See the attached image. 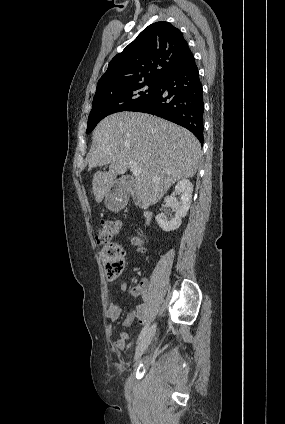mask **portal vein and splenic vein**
<instances>
[{
	"label": "portal vein and splenic vein",
	"instance_id": "18ae733b",
	"mask_svg": "<svg viewBox=\"0 0 285 424\" xmlns=\"http://www.w3.org/2000/svg\"><path fill=\"white\" fill-rule=\"evenodd\" d=\"M129 167H130V169H131V171H132V173H133V175L134 176H139L140 174H141V172H142V170H141V167L140 166H138L136 163H134V162H130L129 163Z\"/></svg>",
	"mask_w": 285,
	"mask_h": 424
}]
</instances>
